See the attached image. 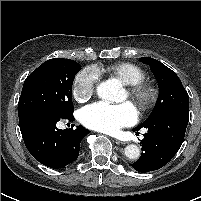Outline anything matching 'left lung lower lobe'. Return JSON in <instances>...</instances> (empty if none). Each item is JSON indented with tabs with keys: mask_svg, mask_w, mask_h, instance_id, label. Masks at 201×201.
I'll use <instances>...</instances> for the list:
<instances>
[{
	"mask_svg": "<svg viewBox=\"0 0 201 201\" xmlns=\"http://www.w3.org/2000/svg\"><path fill=\"white\" fill-rule=\"evenodd\" d=\"M188 120L189 112L173 111L145 124L143 127L148 131L140 143L143 153L131 166L143 173L165 166L180 149Z\"/></svg>",
	"mask_w": 201,
	"mask_h": 201,
	"instance_id": "left-lung-lower-lobe-1",
	"label": "left lung lower lobe"
}]
</instances>
